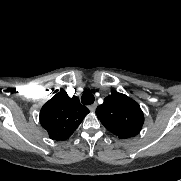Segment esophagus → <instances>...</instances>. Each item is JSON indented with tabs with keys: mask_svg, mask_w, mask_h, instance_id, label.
Returning <instances> with one entry per match:
<instances>
[{
	"mask_svg": "<svg viewBox=\"0 0 181 181\" xmlns=\"http://www.w3.org/2000/svg\"><path fill=\"white\" fill-rule=\"evenodd\" d=\"M96 107H97L96 103L91 104V105L88 106L89 110L92 111V112H94L96 110Z\"/></svg>",
	"mask_w": 181,
	"mask_h": 181,
	"instance_id": "esophagus-1",
	"label": "esophagus"
}]
</instances>
